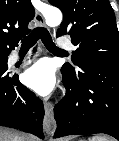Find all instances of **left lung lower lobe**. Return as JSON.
Instances as JSON below:
<instances>
[{
  "label": "left lung lower lobe",
  "mask_w": 119,
  "mask_h": 141,
  "mask_svg": "<svg viewBox=\"0 0 119 141\" xmlns=\"http://www.w3.org/2000/svg\"><path fill=\"white\" fill-rule=\"evenodd\" d=\"M66 96L54 108L55 138L105 133L119 140V66L99 64L71 74L61 68Z\"/></svg>",
  "instance_id": "1"
}]
</instances>
